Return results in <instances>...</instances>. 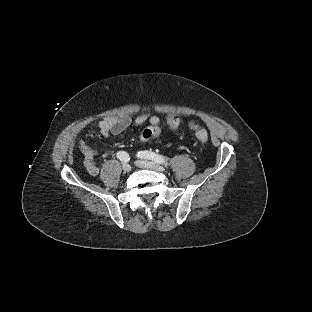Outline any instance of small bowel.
I'll return each instance as SVG.
<instances>
[{"mask_svg": "<svg viewBox=\"0 0 312 312\" xmlns=\"http://www.w3.org/2000/svg\"><path fill=\"white\" fill-rule=\"evenodd\" d=\"M150 124L156 123L160 124V118L153 114H142L136 117L134 120L128 115L121 117L109 116L98 123L99 132L102 136L118 135L125 131L132 123L137 126L144 124L145 122ZM189 127L191 130L196 131L199 125L191 121L189 122ZM79 149L83 155V164L88 174L91 176H97L99 174L100 168L95 162V150L90 147L84 140L79 142Z\"/></svg>", "mask_w": 312, "mask_h": 312, "instance_id": "1", "label": "small bowel"}]
</instances>
